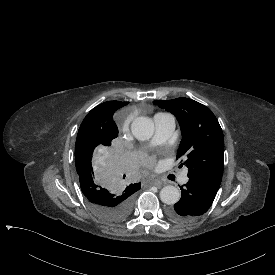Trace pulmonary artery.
<instances>
[{
  "mask_svg": "<svg viewBox=\"0 0 275 275\" xmlns=\"http://www.w3.org/2000/svg\"><path fill=\"white\" fill-rule=\"evenodd\" d=\"M153 121L156 127V133L151 141L152 144H159L166 140L175 128V118L169 113H158L154 116ZM189 180L187 170L184 171L180 182L187 183Z\"/></svg>",
  "mask_w": 275,
  "mask_h": 275,
  "instance_id": "obj_1",
  "label": "pulmonary artery"
}]
</instances>
